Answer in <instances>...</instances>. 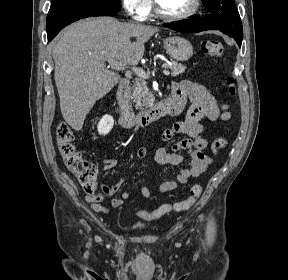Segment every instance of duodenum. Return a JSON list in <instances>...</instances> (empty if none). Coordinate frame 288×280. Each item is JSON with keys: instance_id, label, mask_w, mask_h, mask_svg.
Instances as JSON below:
<instances>
[{"instance_id": "1", "label": "duodenum", "mask_w": 288, "mask_h": 280, "mask_svg": "<svg viewBox=\"0 0 288 280\" xmlns=\"http://www.w3.org/2000/svg\"><path fill=\"white\" fill-rule=\"evenodd\" d=\"M117 100L120 108V124L125 129L134 127L144 128L160 118L177 114L182 107L181 101L175 99H163L139 113H134L131 108L130 82L123 78L117 91Z\"/></svg>"}]
</instances>
